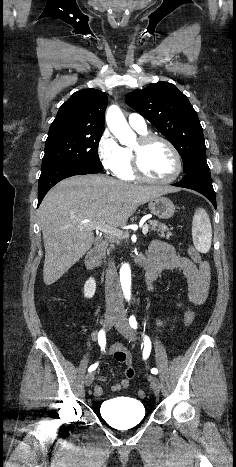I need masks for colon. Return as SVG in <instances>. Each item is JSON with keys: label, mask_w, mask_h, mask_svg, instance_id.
Instances as JSON below:
<instances>
[{"label": "colon", "mask_w": 236, "mask_h": 467, "mask_svg": "<svg viewBox=\"0 0 236 467\" xmlns=\"http://www.w3.org/2000/svg\"><path fill=\"white\" fill-rule=\"evenodd\" d=\"M188 253H189L191 259H192L195 263H200V262L202 261V260H201V256H200L199 252L196 250L195 247H193V246L190 245V246L188 247ZM193 319H194L193 313H192L191 311H188V312L186 313V315H185V320H184L185 325L190 326V325L192 324V322H193ZM115 359H116V360H119V361H120V360H124V359H125V355H124L122 352H117L116 355H115ZM144 394H145V393H144V391H142V390L138 392V395H139L140 397H143Z\"/></svg>", "instance_id": "1"}]
</instances>
